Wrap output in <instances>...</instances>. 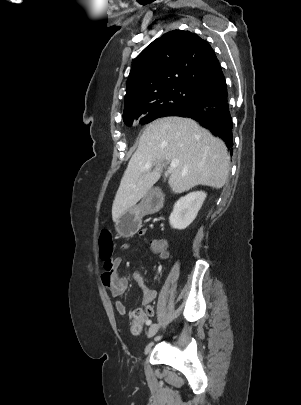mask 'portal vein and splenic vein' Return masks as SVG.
<instances>
[{"label": "portal vein and splenic vein", "instance_id": "obj_1", "mask_svg": "<svg viewBox=\"0 0 301 405\" xmlns=\"http://www.w3.org/2000/svg\"><path fill=\"white\" fill-rule=\"evenodd\" d=\"M178 164H179V161H178V160H172L171 163H170L169 171H171V170H173L174 168H176V167L178 166ZM151 166H152V163H151V162H148V163L145 165V169L148 170V169L151 168Z\"/></svg>", "mask_w": 301, "mask_h": 405}]
</instances>
